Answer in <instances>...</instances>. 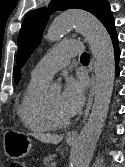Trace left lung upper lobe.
<instances>
[{
	"label": "left lung upper lobe",
	"mask_w": 125,
	"mask_h": 167,
	"mask_svg": "<svg viewBox=\"0 0 125 167\" xmlns=\"http://www.w3.org/2000/svg\"><path fill=\"white\" fill-rule=\"evenodd\" d=\"M79 8L96 16L107 28L114 22L107 0H51L49 9L39 8L29 12L18 35L17 63L23 66L41 40L49 15L56 10Z\"/></svg>",
	"instance_id": "5c2ea615"
}]
</instances>
